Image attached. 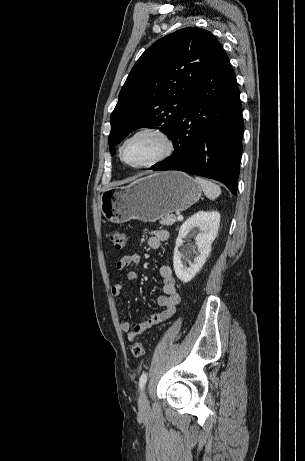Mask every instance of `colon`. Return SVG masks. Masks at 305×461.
Listing matches in <instances>:
<instances>
[{
    "instance_id": "1",
    "label": "colon",
    "mask_w": 305,
    "mask_h": 461,
    "mask_svg": "<svg viewBox=\"0 0 305 461\" xmlns=\"http://www.w3.org/2000/svg\"><path fill=\"white\" fill-rule=\"evenodd\" d=\"M109 239L118 251L124 250L128 241L127 234L118 230H111L109 232ZM131 352L134 357H141L144 354L143 344L139 342L134 343L131 347Z\"/></svg>"
}]
</instances>
